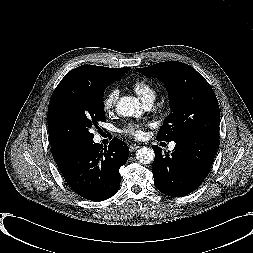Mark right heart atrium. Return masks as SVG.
Returning a JSON list of instances; mask_svg holds the SVG:
<instances>
[{"label":"right heart atrium","mask_w":253,"mask_h":253,"mask_svg":"<svg viewBox=\"0 0 253 253\" xmlns=\"http://www.w3.org/2000/svg\"><path fill=\"white\" fill-rule=\"evenodd\" d=\"M118 96L119 91L117 89H112L104 95L102 105L105 111L111 112L114 110Z\"/></svg>","instance_id":"1"}]
</instances>
